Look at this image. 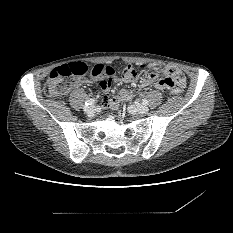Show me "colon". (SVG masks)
I'll use <instances>...</instances> for the list:
<instances>
[{
	"mask_svg": "<svg viewBox=\"0 0 233 233\" xmlns=\"http://www.w3.org/2000/svg\"><path fill=\"white\" fill-rule=\"evenodd\" d=\"M143 68H146L145 66ZM114 73L111 66L103 64L90 65L83 61L73 62L54 69L45 85V94L49 97L66 95L75 83L77 77L92 75L94 77L106 78ZM124 81H131L136 76V70L132 66L125 67L121 72ZM181 92L175 89L174 94Z\"/></svg>",
	"mask_w": 233,
	"mask_h": 233,
	"instance_id": "1",
	"label": "colon"
}]
</instances>
